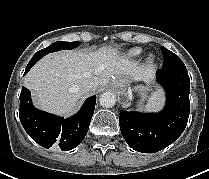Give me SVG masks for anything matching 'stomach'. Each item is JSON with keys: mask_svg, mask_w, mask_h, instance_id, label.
Instances as JSON below:
<instances>
[{"mask_svg": "<svg viewBox=\"0 0 209 179\" xmlns=\"http://www.w3.org/2000/svg\"><path fill=\"white\" fill-rule=\"evenodd\" d=\"M129 83V79L126 77H123L120 80H118V85L120 86L122 92H125L127 90Z\"/></svg>", "mask_w": 209, "mask_h": 179, "instance_id": "stomach-1", "label": "stomach"}]
</instances>
